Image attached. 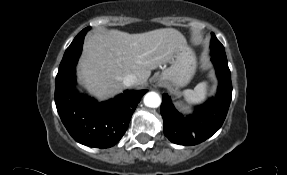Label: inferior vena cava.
I'll use <instances>...</instances> for the list:
<instances>
[{
  "instance_id": "inferior-vena-cava-1",
  "label": "inferior vena cava",
  "mask_w": 287,
  "mask_h": 175,
  "mask_svg": "<svg viewBox=\"0 0 287 175\" xmlns=\"http://www.w3.org/2000/svg\"><path fill=\"white\" fill-rule=\"evenodd\" d=\"M138 81L137 77L134 74H128L123 78V84L125 86H132Z\"/></svg>"
}]
</instances>
